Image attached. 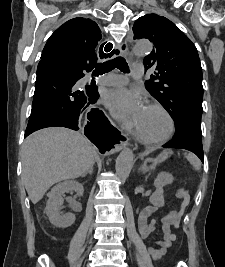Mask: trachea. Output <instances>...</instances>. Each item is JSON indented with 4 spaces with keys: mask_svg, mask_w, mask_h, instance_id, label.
Returning <instances> with one entry per match:
<instances>
[{
    "mask_svg": "<svg viewBox=\"0 0 225 267\" xmlns=\"http://www.w3.org/2000/svg\"><path fill=\"white\" fill-rule=\"evenodd\" d=\"M111 45V44H110ZM112 48V45H111ZM114 53V50L112 51ZM114 68H118L120 71L124 73L129 72V66L126 60L123 57H116L112 60H109L105 63H98L96 65V69L94 71L95 74H104L112 71Z\"/></svg>",
    "mask_w": 225,
    "mask_h": 267,
    "instance_id": "3493384b",
    "label": "trachea"
}]
</instances>
